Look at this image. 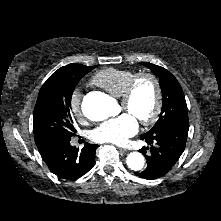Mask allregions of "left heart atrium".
I'll return each mask as SVG.
<instances>
[{
	"label": "left heart atrium",
	"instance_id": "39dd6f15",
	"mask_svg": "<svg viewBox=\"0 0 221 221\" xmlns=\"http://www.w3.org/2000/svg\"><path fill=\"white\" fill-rule=\"evenodd\" d=\"M137 131V119L125 112L97 126L92 131V138L100 143L124 145Z\"/></svg>",
	"mask_w": 221,
	"mask_h": 221
}]
</instances>
